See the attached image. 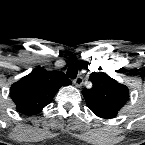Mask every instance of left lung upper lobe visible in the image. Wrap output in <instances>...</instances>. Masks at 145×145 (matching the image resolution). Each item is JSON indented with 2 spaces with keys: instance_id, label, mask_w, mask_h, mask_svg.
Masks as SVG:
<instances>
[{
  "instance_id": "left-lung-upper-lobe-1",
  "label": "left lung upper lobe",
  "mask_w": 145,
  "mask_h": 145,
  "mask_svg": "<svg viewBox=\"0 0 145 145\" xmlns=\"http://www.w3.org/2000/svg\"><path fill=\"white\" fill-rule=\"evenodd\" d=\"M90 79L93 87L82 91L87 106L98 117H116L129 99L128 88L104 72H93Z\"/></svg>"
}]
</instances>
